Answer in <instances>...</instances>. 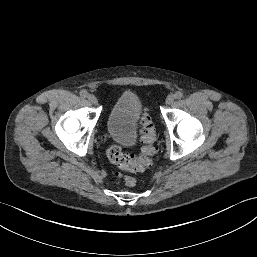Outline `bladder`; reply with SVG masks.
Wrapping results in <instances>:
<instances>
[{"label":"bladder","mask_w":257,"mask_h":257,"mask_svg":"<svg viewBox=\"0 0 257 257\" xmlns=\"http://www.w3.org/2000/svg\"><path fill=\"white\" fill-rule=\"evenodd\" d=\"M143 109L142 99L133 92L122 93L106 120V131L116 142L130 145L137 139V122Z\"/></svg>","instance_id":"1"}]
</instances>
